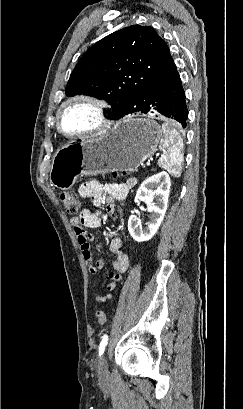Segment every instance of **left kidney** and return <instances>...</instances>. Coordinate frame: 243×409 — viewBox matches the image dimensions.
<instances>
[{
    "mask_svg": "<svg viewBox=\"0 0 243 409\" xmlns=\"http://www.w3.org/2000/svg\"><path fill=\"white\" fill-rule=\"evenodd\" d=\"M170 187L171 180L166 172L155 174L142 182L136 192L135 203L145 201L151 216L145 228L141 226L136 215L130 216L128 230L135 241H148L156 234L167 211ZM154 200L156 203L153 202Z\"/></svg>",
    "mask_w": 243,
    "mask_h": 409,
    "instance_id": "5707ae66",
    "label": "left kidney"
}]
</instances>
